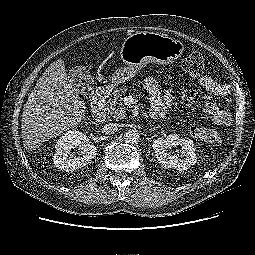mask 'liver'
I'll use <instances>...</instances> for the list:
<instances>
[{
    "label": "liver",
    "instance_id": "liver-1",
    "mask_svg": "<svg viewBox=\"0 0 255 255\" xmlns=\"http://www.w3.org/2000/svg\"><path fill=\"white\" fill-rule=\"evenodd\" d=\"M85 102L70 84L64 60L52 62L30 94L22 115V139L27 151L77 127L85 118Z\"/></svg>",
    "mask_w": 255,
    "mask_h": 255
}]
</instances>
